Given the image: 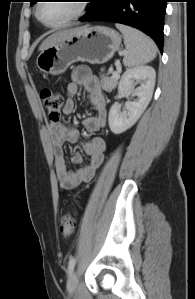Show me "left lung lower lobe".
I'll return each instance as SVG.
<instances>
[{"label": "left lung lower lobe", "instance_id": "0a47b994", "mask_svg": "<svg viewBox=\"0 0 195 299\" xmlns=\"http://www.w3.org/2000/svg\"><path fill=\"white\" fill-rule=\"evenodd\" d=\"M167 0H91L80 21H109L137 28L163 51Z\"/></svg>", "mask_w": 195, "mask_h": 299}]
</instances>
